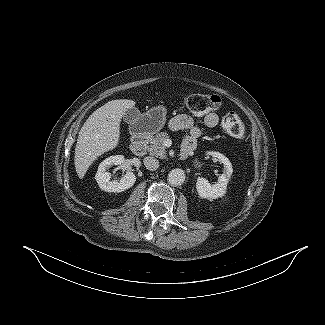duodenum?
<instances>
[{
  "label": "duodenum",
  "instance_id": "duodenum-1",
  "mask_svg": "<svg viewBox=\"0 0 325 325\" xmlns=\"http://www.w3.org/2000/svg\"><path fill=\"white\" fill-rule=\"evenodd\" d=\"M147 149V136L144 134H135L133 136L132 143L130 145V150L135 155H143ZM194 151L193 146L183 145L181 148V157L186 159Z\"/></svg>",
  "mask_w": 325,
  "mask_h": 325
}]
</instances>
